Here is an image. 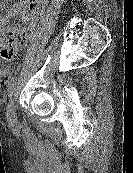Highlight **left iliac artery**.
<instances>
[{
    "mask_svg": "<svg viewBox=\"0 0 133 173\" xmlns=\"http://www.w3.org/2000/svg\"><path fill=\"white\" fill-rule=\"evenodd\" d=\"M16 82H17V78L12 77V79L10 80L9 85H8V95H9V97H11L13 92H14Z\"/></svg>",
    "mask_w": 133,
    "mask_h": 173,
    "instance_id": "obj_1",
    "label": "left iliac artery"
}]
</instances>
